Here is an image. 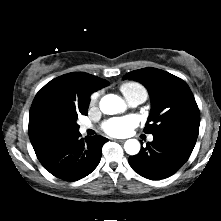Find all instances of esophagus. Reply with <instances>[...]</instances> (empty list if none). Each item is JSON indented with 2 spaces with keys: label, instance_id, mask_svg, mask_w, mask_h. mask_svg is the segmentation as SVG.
<instances>
[{
  "label": "esophagus",
  "instance_id": "esophagus-1",
  "mask_svg": "<svg viewBox=\"0 0 221 221\" xmlns=\"http://www.w3.org/2000/svg\"><path fill=\"white\" fill-rule=\"evenodd\" d=\"M115 141L120 142V143H123V142H124L123 139H115Z\"/></svg>",
  "mask_w": 221,
  "mask_h": 221
}]
</instances>
